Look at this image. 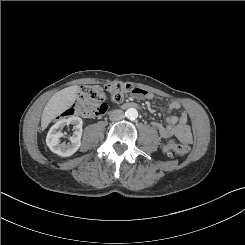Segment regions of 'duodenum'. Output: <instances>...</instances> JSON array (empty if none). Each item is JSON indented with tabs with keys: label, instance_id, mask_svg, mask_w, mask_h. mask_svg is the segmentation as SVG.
Instances as JSON below:
<instances>
[{
	"label": "duodenum",
	"instance_id": "obj_1",
	"mask_svg": "<svg viewBox=\"0 0 245 245\" xmlns=\"http://www.w3.org/2000/svg\"><path fill=\"white\" fill-rule=\"evenodd\" d=\"M124 107H126V108H137L138 107V105L136 104V103H133V102H130V103H126L125 105H124Z\"/></svg>",
	"mask_w": 245,
	"mask_h": 245
}]
</instances>
